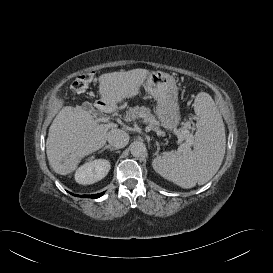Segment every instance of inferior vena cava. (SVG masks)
<instances>
[{"label":"inferior vena cava","instance_id":"inferior-vena-cava-1","mask_svg":"<svg viewBox=\"0 0 273 273\" xmlns=\"http://www.w3.org/2000/svg\"><path fill=\"white\" fill-rule=\"evenodd\" d=\"M107 141L115 148H123L129 142V135L123 130L112 129L107 134Z\"/></svg>","mask_w":273,"mask_h":273}]
</instances>
